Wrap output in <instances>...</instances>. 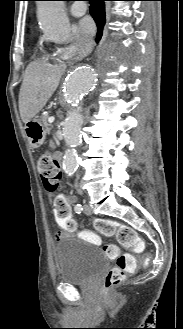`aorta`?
Returning a JSON list of instances; mask_svg holds the SVG:
<instances>
[{
    "mask_svg": "<svg viewBox=\"0 0 183 329\" xmlns=\"http://www.w3.org/2000/svg\"><path fill=\"white\" fill-rule=\"evenodd\" d=\"M37 16L41 30L54 41L64 43L70 34V22L64 12L63 1H38ZM99 69L93 64L76 67L68 75L64 86V98L71 111L63 122V137L68 148L63 157V168L72 176L78 166L77 147L81 142L83 117L79 110L82 98L96 85Z\"/></svg>",
    "mask_w": 183,
    "mask_h": 329,
    "instance_id": "1",
    "label": "aorta"
}]
</instances>
